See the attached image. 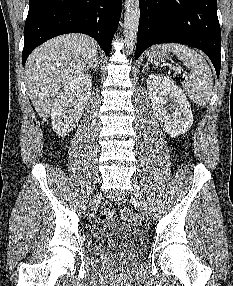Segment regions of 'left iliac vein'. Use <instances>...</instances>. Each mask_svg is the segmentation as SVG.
<instances>
[{"label": "left iliac vein", "instance_id": "obj_1", "mask_svg": "<svg viewBox=\"0 0 233 286\" xmlns=\"http://www.w3.org/2000/svg\"><path fill=\"white\" fill-rule=\"evenodd\" d=\"M132 196L134 197V200L136 201L141 213L146 215L148 212L147 202L136 182H132Z\"/></svg>", "mask_w": 233, "mask_h": 286}]
</instances>
